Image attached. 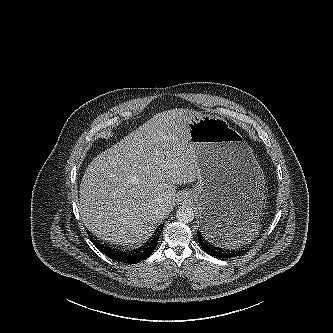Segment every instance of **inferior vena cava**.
<instances>
[{
  "label": "inferior vena cava",
  "instance_id": "602c4592",
  "mask_svg": "<svg viewBox=\"0 0 333 333\" xmlns=\"http://www.w3.org/2000/svg\"><path fill=\"white\" fill-rule=\"evenodd\" d=\"M166 208L165 205H162L160 209H158V212H160L161 214H164L166 212Z\"/></svg>",
  "mask_w": 333,
  "mask_h": 333
}]
</instances>
